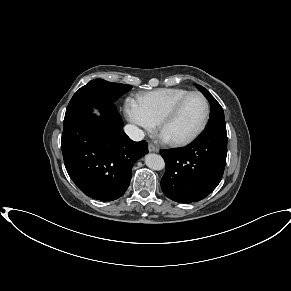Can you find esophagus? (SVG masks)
<instances>
[{
    "instance_id": "obj_1",
    "label": "esophagus",
    "mask_w": 291,
    "mask_h": 291,
    "mask_svg": "<svg viewBox=\"0 0 291 291\" xmlns=\"http://www.w3.org/2000/svg\"><path fill=\"white\" fill-rule=\"evenodd\" d=\"M148 150L150 152H158L159 151V149L156 146H154L153 144L148 145Z\"/></svg>"
}]
</instances>
